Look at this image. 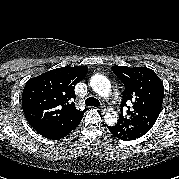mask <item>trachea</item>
Here are the masks:
<instances>
[{
    "mask_svg": "<svg viewBox=\"0 0 179 179\" xmlns=\"http://www.w3.org/2000/svg\"><path fill=\"white\" fill-rule=\"evenodd\" d=\"M86 106L98 107L100 105L99 100L94 97H89L85 100Z\"/></svg>",
    "mask_w": 179,
    "mask_h": 179,
    "instance_id": "1",
    "label": "trachea"
}]
</instances>
